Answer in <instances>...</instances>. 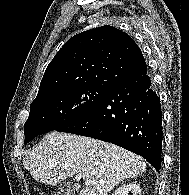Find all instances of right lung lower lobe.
<instances>
[{"mask_svg":"<svg viewBox=\"0 0 189 195\" xmlns=\"http://www.w3.org/2000/svg\"><path fill=\"white\" fill-rule=\"evenodd\" d=\"M56 131L111 142L142 156L158 172L161 168L162 112L147 69Z\"/></svg>","mask_w":189,"mask_h":195,"instance_id":"right-lung-lower-lobe-1","label":"right lung lower lobe"}]
</instances>
